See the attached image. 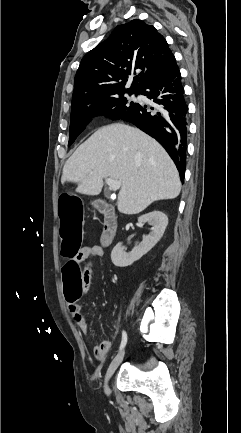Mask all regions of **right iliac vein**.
I'll use <instances>...</instances> for the list:
<instances>
[{"label": "right iliac vein", "mask_w": 241, "mask_h": 433, "mask_svg": "<svg viewBox=\"0 0 241 433\" xmlns=\"http://www.w3.org/2000/svg\"><path fill=\"white\" fill-rule=\"evenodd\" d=\"M125 355V351L121 350L116 356L115 358L112 360V362L109 365V368L106 372L105 375V380H104V392L106 395H110V389L108 386V382L109 379L112 377V375L114 374L115 370L118 368V366L121 364L123 358Z\"/></svg>", "instance_id": "right-iliac-vein-1"}]
</instances>
